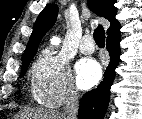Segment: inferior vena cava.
<instances>
[{
	"label": "inferior vena cava",
	"mask_w": 142,
	"mask_h": 119,
	"mask_svg": "<svg viewBox=\"0 0 142 119\" xmlns=\"http://www.w3.org/2000/svg\"><path fill=\"white\" fill-rule=\"evenodd\" d=\"M79 108L78 93L73 85H70L66 92L63 106V116L65 119H77Z\"/></svg>",
	"instance_id": "obj_1"
}]
</instances>
